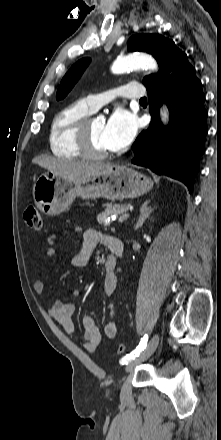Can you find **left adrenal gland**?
I'll return each mask as SVG.
<instances>
[{"label":"left adrenal gland","mask_w":221,"mask_h":440,"mask_svg":"<svg viewBox=\"0 0 221 440\" xmlns=\"http://www.w3.org/2000/svg\"><path fill=\"white\" fill-rule=\"evenodd\" d=\"M149 203H150V200H147L141 206V208H140V216H139V219H138V221H137V223L135 225L136 228L142 227V225L145 222V220L150 216V214L154 210L150 206H148Z\"/></svg>","instance_id":"left-adrenal-gland-1"}]
</instances>
